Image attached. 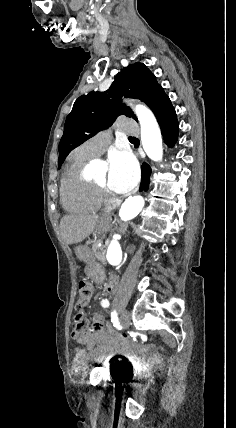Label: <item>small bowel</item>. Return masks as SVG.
Here are the masks:
<instances>
[{"mask_svg": "<svg viewBox=\"0 0 236 428\" xmlns=\"http://www.w3.org/2000/svg\"><path fill=\"white\" fill-rule=\"evenodd\" d=\"M108 293L117 291V279L109 277L105 283ZM72 339L84 345V348H75V360H101L106 357L120 356L124 360L134 362L138 366H148L159 363L161 355L156 347L147 343H137L126 336L116 334L102 326L96 327L84 321L80 332L72 331Z\"/></svg>", "mask_w": 236, "mask_h": 428, "instance_id": "obj_1", "label": "small bowel"}]
</instances>
